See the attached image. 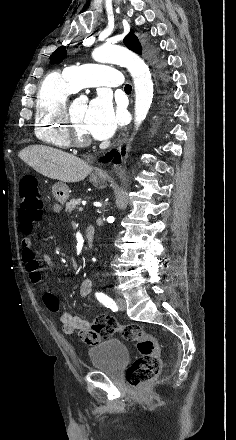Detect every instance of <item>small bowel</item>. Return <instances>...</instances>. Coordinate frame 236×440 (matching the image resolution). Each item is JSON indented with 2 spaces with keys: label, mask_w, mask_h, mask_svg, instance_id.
<instances>
[{
  "label": "small bowel",
  "mask_w": 236,
  "mask_h": 440,
  "mask_svg": "<svg viewBox=\"0 0 236 440\" xmlns=\"http://www.w3.org/2000/svg\"><path fill=\"white\" fill-rule=\"evenodd\" d=\"M54 211L58 212L60 210V206L58 204L54 205ZM22 253L21 257L23 262L25 263L26 269L29 273V277L31 281L36 285L42 284V273L39 266V261L36 256V253L32 249V242L29 237H24L21 240ZM45 262L49 263L50 258L44 257ZM92 289V282L90 279H84L81 283L79 289V295L81 299L86 300L90 295ZM48 296H54L51 293L46 292L43 296L44 303L46 305V298ZM47 306V305H46ZM48 308V307H47ZM60 321L62 323V331L63 333L70 335L74 332L78 333V337L81 339H96L98 333L96 330H91V322L89 319L84 318L79 315H73L69 312L60 309L59 311ZM88 344H95L98 341H86Z\"/></svg>",
  "instance_id": "obj_1"
}]
</instances>
